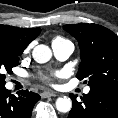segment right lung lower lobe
Masks as SVG:
<instances>
[{
  "label": "right lung lower lobe",
  "instance_id": "obj_1",
  "mask_svg": "<svg viewBox=\"0 0 118 118\" xmlns=\"http://www.w3.org/2000/svg\"><path fill=\"white\" fill-rule=\"evenodd\" d=\"M18 96L11 95L5 86H0V118H30L32 109L40 96L21 90Z\"/></svg>",
  "mask_w": 118,
  "mask_h": 118
}]
</instances>
